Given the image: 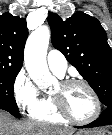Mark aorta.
Segmentation results:
<instances>
[{
    "mask_svg": "<svg viewBox=\"0 0 112 135\" xmlns=\"http://www.w3.org/2000/svg\"><path fill=\"white\" fill-rule=\"evenodd\" d=\"M49 40V28L39 27L29 36L24 51L27 72L40 89L50 87L56 80L51 75L46 61Z\"/></svg>",
    "mask_w": 112,
    "mask_h": 135,
    "instance_id": "aorta-1",
    "label": "aorta"
}]
</instances>
